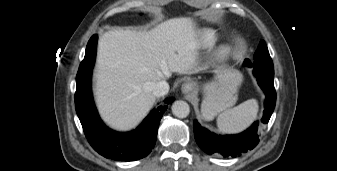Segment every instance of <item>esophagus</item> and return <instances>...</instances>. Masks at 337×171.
I'll return each instance as SVG.
<instances>
[{
	"instance_id": "34e87169",
	"label": "esophagus",
	"mask_w": 337,
	"mask_h": 171,
	"mask_svg": "<svg viewBox=\"0 0 337 171\" xmlns=\"http://www.w3.org/2000/svg\"><path fill=\"white\" fill-rule=\"evenodd\" d=\"M194 88V84L190 81H187L182 84L181 90L184 94H190L194 91Z\"/></svg>"
}]
</instances>
